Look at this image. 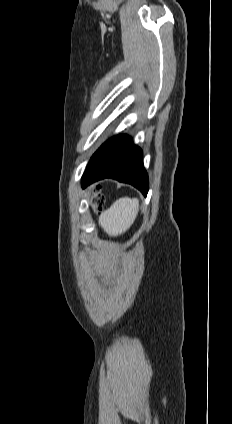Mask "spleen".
I'll use <instances>...</instances> for the list:
<instances>
[{"label": "spleen", "mask_w": 232, "mask_h": 424, "mask_svg": "<svg viewBox=\"0 0 232 424\" xmlns=\"http://www.w3.org/2000/svg\"><path fill=\"white\" fill-rule=\"evenodd\" d=\"M139 211V200L122 197L99 217V225L109 236H118L126 232L134 223Z\"/></svg>", "instance_id": "3e777b00"}]
</instances>
